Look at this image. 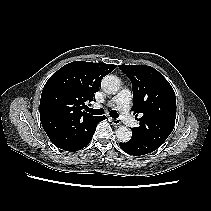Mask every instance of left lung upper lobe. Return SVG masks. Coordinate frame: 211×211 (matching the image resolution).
Returning <instances> with one entry per match:
<instances>
[{"instance_id": "left-lung-upper-lobe-1", "label": "left lung upper lobe", "mask_w": 211, "mask_h": 211, "mask_svg": "<svg viewBox=\"0 0 211 211\" xmlns=\"http://www.w3.org/2000/svg\"><path fill=\"white\" fill-rule=\"evenodd\" d=\"M133 89L132 111L141 114L132 136L161 146L171 134L176 119V97L169 82L156 69L146 65H120Z\"/></svg>"}]
</instances>
